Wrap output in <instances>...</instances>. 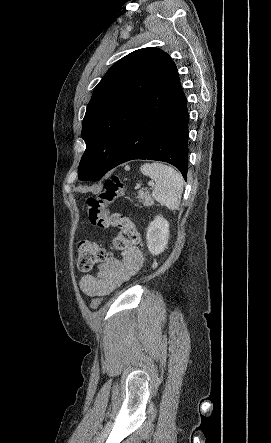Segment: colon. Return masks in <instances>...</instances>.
<instances>
[{"label": "colon", "instance_id": "5ec220e1", "mask_svg": "<svg viewBox=\"0 0 271 443\" xmlns=\"http://www.w3.org/2000/svg\"><path fill=\"white\" fill-rule=\"evenodd\" d=\"M124 192V184L113 176L106 180L104 188L96 195L86 200V212L90 223L99 228L116 227L118 233L113 240V246L120 251L129 249L139 241V235L134 221L119 212H110L109 206L113 204ZM77 266L81 271H90L96 264L104 261L108 254L96 242L81 240L77 244ZM102 303L99 297L94 298L90 307L97 309Z\"/></svg>", "mask_w": 271, "mask_h": 443}]
</instances>
